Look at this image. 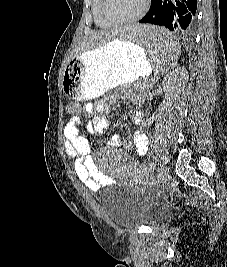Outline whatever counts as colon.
I'll list each match as a JSON object with an SVG mask.
<instances>
[{
  "mask_svg": "<svg viewBox=\"0 0 227 267\" xmlns=\"http://www.w3.org/2000/svg\"><path fill=\"white\" fill-rule=\"evenodd\" d=\"M76 110H80V105H74V104L68 105L67 111L64 112V115L65 116H77L78 112Z\"/></svg>",
  "mask_w": 227,
  "mask_h": 267,
  "instance_id": "colon-1",
  "label": "colon"
}]
</instances>
